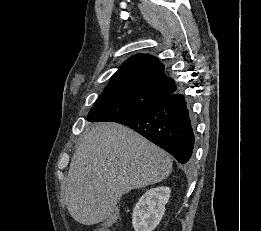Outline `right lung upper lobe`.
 <instances>
[{
	"label": "right lung upper lobe",
	"mask_w": 261,
	"mask_h": 231,
	"mask_svg": "<svg viewBox=\"0 0 261 231\" xmlns=\"http://www.w3.org/2000/svg\"><path fill=\"white\" fill-rule=\"evenodd\" d=\"M127 87L143 89L159 99L177 91L175 81L165 75L164 65L148 54H138L126 60L105 90Z\"/></svg>",
	"instance_id": "obj_1"
}]
</instances>
